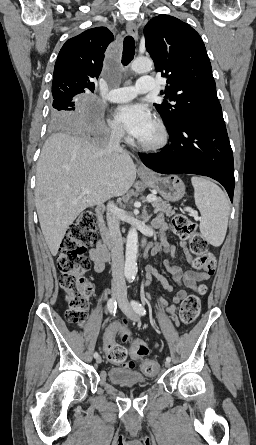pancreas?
Listing matches in <instances>:
<instances>
[{
	"mask_svg": "<svg viewBox=\"0 0 256 445\" xmlns=\"http://www.w3.org/2000/svg\"><path fill=\"white\" fill-rule=\"evenodd\" d=\"M152 205L155 208V211L159 213L160 216H162L164 213L168 217L174 214L172 206L161 198H156L155 201H153Z\"/></svg>",
	"mask_w": 256,
	"mask_h": 445,
	"instance_id": "cf45deb5",
	"label": "pancreas"
}]
</instances>
